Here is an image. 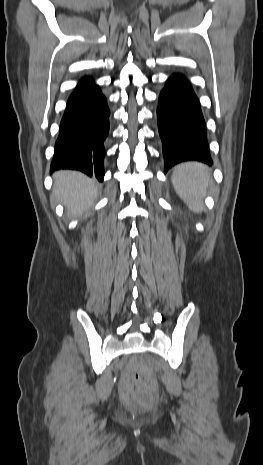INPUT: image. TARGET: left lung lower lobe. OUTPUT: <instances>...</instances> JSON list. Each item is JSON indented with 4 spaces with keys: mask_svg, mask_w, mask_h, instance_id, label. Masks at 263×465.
<instances>
[{
    "mask_svg": "<svg viewBox=\"0 0 263 465\" xmlns=\"http://www.w3.org/2000/svg\"><path fill=\"white\" fill-rule=\"evenodd\" d=\"M157 120L165 171L187 160L212 163L200 103L182 75L167 80L159 96Z\"/></svg>",
    "mask_w": 263,
    "mask_h": 465,
    "instance_id": "0a47b994",
    "label": "left lung lower lobe"
}]
</instances>
